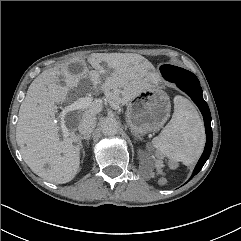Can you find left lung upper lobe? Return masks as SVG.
<instances>
[{"label":"left lung upper lobe","instance_id":"left-lung-upper-lobe-1","mask_svg":"<svg viewBox=\"0 0 241 241\" xmlns=\"http://www.w3.org/2000/svg\"><path fill=\"white\" fill-rule=\"evenodd\" d=\"M161 73L164 78L166 79H175L179 81H189L196 79V76L179 67L172 66V65H163L160 67Z\"/></svg>","mask_w":241,"mask_h":241}]
</instances>
